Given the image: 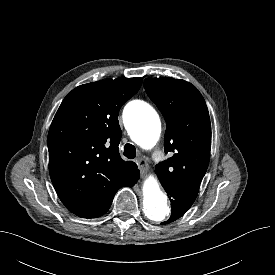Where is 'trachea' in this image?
I'll return each instance as SVG.
<instances>
[{"label": "trachea", "instance_id": "1", "mask_svg": "<svg viewBox=\"0 0 275 275\" xmlns=\"http://www.w3.org/2000/svg\"><path fill=\"white\" fill-rule=\"evenodd\" d=\"M123 154L129 159H134L136 157V148L132 144L127 143L124 146Z\"/></svg>", "mask_w": 275, "mask_h": 275}]
</instances>
